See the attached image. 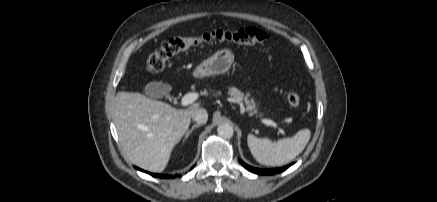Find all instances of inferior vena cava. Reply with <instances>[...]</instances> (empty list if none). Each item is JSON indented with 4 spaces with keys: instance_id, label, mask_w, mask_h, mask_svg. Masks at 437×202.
<instances>
[{
    "instance_id": "inferior-vena-cava-1",
    "label": "inferior vena cava",
    "mask_w": 437,
    "mask_h": 202,
    "mask_svg": "<svg viewBox=\"0 0 437 202\" xmlns=\"http://www.w3.org/2000/svg\"><path fill=\"white\" fill-rule=\"evenodd\" d=\"M191 117L198 124H205L208 120V113L204 108H199L192 113Z\"/></svg>"
}]
</instances>
